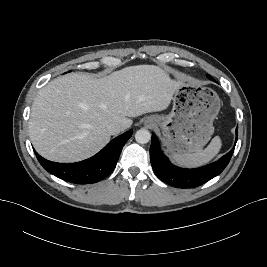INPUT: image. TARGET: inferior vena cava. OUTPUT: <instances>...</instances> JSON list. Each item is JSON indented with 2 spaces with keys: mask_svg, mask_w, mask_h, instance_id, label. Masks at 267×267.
I'll return each instance as SVG.
<instances>
[{
  "mask_svg": "<svg viewBox=\"0 0 267 267\" xmlns=\"http://www.w3.org/2000/svg\"><path fill=\"white\" fill-rule=\"evenodd\" d=\"M107 130L111 135H115L123 130V126L117 122H112L107 125Z\"/></svg>",
  "mask_w": 267,
  "mask_h": 267,
  "instance_id": "inferior-vena-cava-1",
  "label": "inferior vena cava"
}]
</instances>
